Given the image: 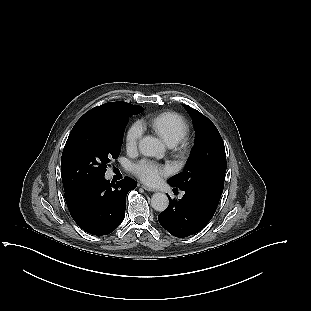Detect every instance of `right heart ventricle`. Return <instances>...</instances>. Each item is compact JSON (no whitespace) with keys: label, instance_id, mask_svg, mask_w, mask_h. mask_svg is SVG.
Listing matches in <instances>:
<instances>
[{"label":"right heart ventricle","instance_id":"1","mask_svg":"<svg viewBox=\"0 0 311 311\" xmlns=\"http://www.w3.org/2000/svg\"><path fill=\"white\" fill-rule=\"evenodd\" d=\"M154 127L165 141L180 138L187 129L183 117L175 113H166L158 116L154 120Z\"/></svg>","mask_w":311,"mask_h":311}]
</instances>
